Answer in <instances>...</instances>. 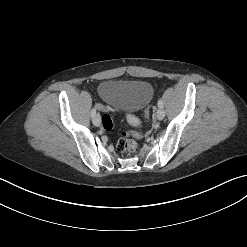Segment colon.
Returning a JSON list of instances; mask_svg holds the SVG:
<instances>
[{"label": "colon", "instance_id": "colon-1", "mask_svg": "<svg viewBox=\"0 0 247 247\" xmlns=\"http://www.w3.org/2000/svg\"><path fill=\"white\" fill-rule=\"evenodd\" d=\"M149 109L146 111V117L149 116ZM115 120L108 114L103 115L102 126L105 130L110 131L114 127ZM148 134L147 128H143L138 132H124L121 134L117 142V150L123 153L134 152L138 147L137 139Z\"/></svg>", "mask_w": 247, "mask_h": 247}]
</instances>
